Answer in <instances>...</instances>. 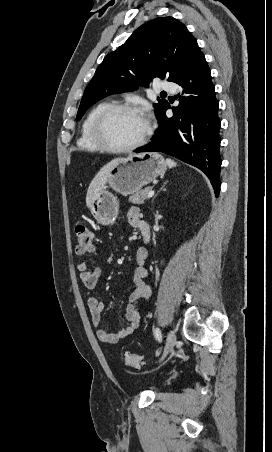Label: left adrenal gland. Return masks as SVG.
Masks as SVG:
<instances>
[{
    "instance_id": "1",
    "label": "left adrenal gland",
    "mask_w": 272,
    "mask_h": 452,
    "mask_svg": "<svg viewBox=\"0 0 272 452\" xmlns=\"http://www.w3.org/2000/svg\"><path fill=\"white\" fill-rule=\"evenodd\" d=\"M166 184H167V181L164 183V185L162 186L161 190L165 187Z\"/></svg>"
}]
</instances>
